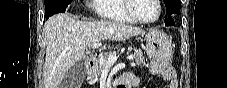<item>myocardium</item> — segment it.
Segmentation results:
<instances>
[{"instance_id": "myocardium-1", "label": "myocardium", "mask_w": 227, "mask_h": 88, "mask_svg": "<svg viewBox=\"0 0 227 88\" xmlns=\"http://www.w3.org/2000/svg\"><path fill=\"white\" fill-rule=\"evenodd\" d=\"M135 0H127L125 3V11L128 14V16L135 22V23H139V24H152L155 23L159 20L161 14H162V7H161V3L160 0H154L157 8H158V14L154 19L151 20H143L138 18L134 11H133V4H134Z\"/></svg>"}]
</instances>
